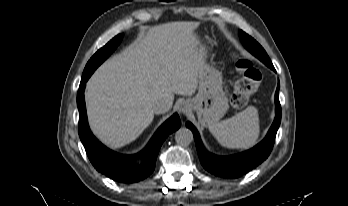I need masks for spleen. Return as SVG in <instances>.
Masks as SVG:
<instances>
[{
  "mask_svg": "<svg viewBox=\"0 0 348 206\" xmlns=\"http://www.w3.org/2000/svg\"><path fill=\"white\" fill-rule=\"evenodd\" d=\"M212 135L224 147L247 150L257 143L259 137V117L256 108L251 107L238 116L214 125Z\"/></svg>",
  "mask_w": 348,
  "mask_h": 206,
  "instance_id": "1",
  "label": "spleen"
}]
</instances>
